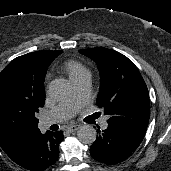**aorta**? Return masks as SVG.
<instances>
[{"label":"aorta","mask_w":171,"mask_h":171,"mask_svg":"<svg viewBox=\"0 0 171 171\" xmlns=\"http://www.w3.org/2000/svg\"><path fill=\"white\" fill-rule=\"evenodd\" d=\"M49 94L56 100H62L68 97L71 93V84L68 80L58 78L49 84ZM77 137L83 144H93L97 137V132L91 125H83L77 132Z\"/></svg>","instance_id":"762f6f07"}]
</instances>
